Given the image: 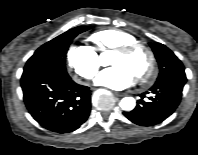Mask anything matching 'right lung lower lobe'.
Here are the masks:
<instances>
[{
  "mask_svg": "<svg viewBox=\"0 0 198 155\" xmlns=\"http://www.w3.org/2000/svg\"><path fill=\"white\" fill-rule=\"evenodd\" d=\"M24 101L29 113L44 128L69 133L88 118L91 92L69 76L49 70H25L21 77Z\"/></svg>",
  "mask_w": 198,
  "mask_h": 155,
  "instance_id": "98d812e1",
  "label": "right lung lower lobe"
}]
</instances>
